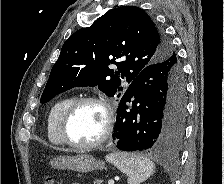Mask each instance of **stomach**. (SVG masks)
I'll return each instance as SVG.
<instances>
[{
	"label": "stomach",
	"instance_id": "obj_1",
	"mask_svg": "<svg viewBox=\"0 0 224 184\" xmlns=\"http://www.w3.org/2000/svg\"><path fill=\"white\" fill-rule=\"evenodd\" d=\"M50 165L54 168L70 169L81 173L102 170L105 168L102 161L97 160L88 154L56 157L50 162Z\"/></svg>",
	"mask_w": 224,
	"mask_h": 184
}]
</instances>
